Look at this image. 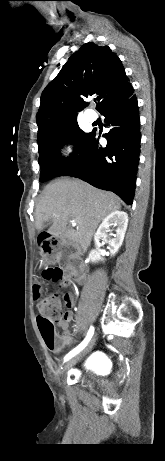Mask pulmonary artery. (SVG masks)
Returning a JSON list of instances; mask_svg holds the SVG:
<instances>
[{
  "label": "pulmonary artery",
  "instance_id": "obj_1",
  "mask_svg": "<svg viewBox=\"0 0 165 461\" xmlns=\"http://www.w3.org/2000/svg\"><path fill=\"white\" fill-rule=\"evenodd\" d=\"M96 114L95 113H92V112H86L84 114V118L88 121V122H94L96 120Z\"/></svg>",
  "mask_w": 165,
  "mask_h": 461
}]
</instances>
